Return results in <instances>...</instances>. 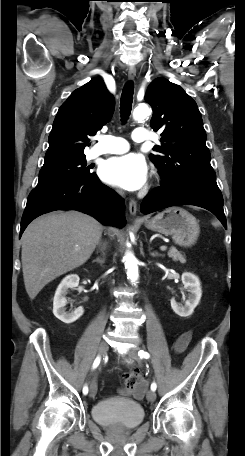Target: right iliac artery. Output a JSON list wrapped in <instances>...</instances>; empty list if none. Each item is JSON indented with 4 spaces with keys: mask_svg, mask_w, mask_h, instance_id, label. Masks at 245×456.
Returning <instances> with one entry per match:
<instances>
[{
    "mask_svg": "<svg viewBox=\"0 0 245 456\" xmlns=\"http://www.w3.org/2000/svg\"><path fill=\"white\" fill-rule=\"evenodd\" d=\"M100 360H101V359H100L99 356L96 357V359L94 360L93 366H92L93 369H95V368L100 364ZM83 393H84L85 395L88 393V386H87V385H85V386L83 387Z\"/></svg>",
    "mask_w": 245,
    "mask_h": 456,
    "instance_id": "82829eb1",
    "label": "right iliac artery"
}]
</instances>
